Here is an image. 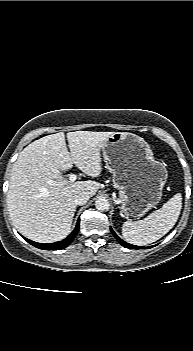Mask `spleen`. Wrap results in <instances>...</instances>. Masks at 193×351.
I'll return each mask as SVG.
<instances>
[{
    "mask_svg": "<svg viewBox=\"0 0 193 351\" xmlns=\"http://www.w3.org/2000/svg\"><path fill=\"white\" fill-rule=\"evenodd\" d=\"M181 208L182 196L177 193L161 209L154 211L144 220L124 222L122 235L131 244L147 245L153 243L173 228Z\"/></svg>",
    "mask_w": 193,
    "mask_h": 351,
    "instance_id": "3e777b00",
    "label": "spleen"
}]
</instances>
